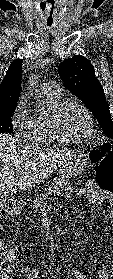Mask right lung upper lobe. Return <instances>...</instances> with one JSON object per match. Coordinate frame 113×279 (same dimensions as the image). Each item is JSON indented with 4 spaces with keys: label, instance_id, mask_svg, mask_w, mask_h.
<instances>
[{
    "label": "right lung upper lobe",
    "instance_id": "right-lung-upper-lobe-1",
    "mask_svg": "<svg viewBox=\"0 0 113 279\" xmlns=\"http://www.w3.org/2000/svg\"><path fill=\"white\" fill-rule=\"evenodd\" d=\"M22 59L14 60L0 84V110L15 107L21 89Z\"/></svg>",
    "mask_w": 113,
    "mask_h": 279
}]
</instances>
